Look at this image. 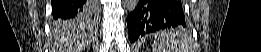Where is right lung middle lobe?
Here are the masks:
<instances>
[{"label":"right lung middle lobe","mask_w":261,"mask_h":52,"mask_svg":"<svg viewBox=\"0 0 261 52\" xmlns=\"http://www.w3.org/2000/svg\"><path fill=\"white\" fill-rule=\"evenodd\" d=\"M92 5L93 7L96 9L98 7V3L96 1H92ZM57 21L55 22V24H57L58 26H64V25H71V23H76V22H81V21H88L91 23V21H93V17H86L85 13H82L80 15H78L77 17H75L74 19H56Z\"/></svg>","instance_id":"1"}]
</instances>
